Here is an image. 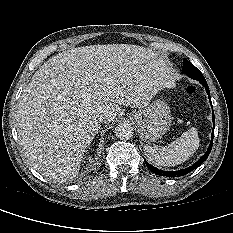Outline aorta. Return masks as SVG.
<instances>
[{
  "label": "aorta",
  "instance_id": "aorta-1",
  "mask_svg": "<svg viewBox=\"0 0 233 233\" xmlns=\"http://www.w3.org/2000/svg\"><path fill=\"white\" fill-rule=\"evenodd\" d=\"M115 134L120 140H129L133 136V127L125 122L119 123L115 127Z\"/></svg>",
  "mask_w": 233,
  "mask_h": 233
}]
</instances>
